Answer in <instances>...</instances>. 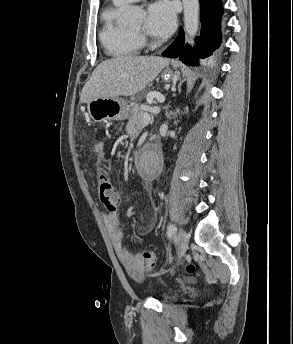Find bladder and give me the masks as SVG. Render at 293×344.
Masks as SVG:
<instances>
[{
    "mask_svg": "<svg viewBox=\"0 0 293 344\" xmlns=\"http://www.w3.org/2000/svg\"><path fill=\"white\" fill-rule=\"evenodd\" d=\"M175 298L174 295H167L164 297V301L169 302L172 301Z\"/></svg>",
    "mask_w": 293,
    "mask_h": 344,
    "instance_id": "31cf9c89",
    "label": "bladder"
}]
</instances>
